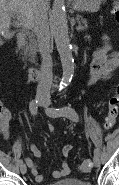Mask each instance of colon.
Instances as JSON below:
<instances>
[{
	"label": "colon",
	"instance_id": "5ec220e1",
	"mask_svg": "<svg viewBox=\"0 0 119 185\" xmlns=\"http://www.w3.org/2000/svg\"><path fill=\"white\" fill-rule=\"evenodd\" d=\"M112 14L117 20H119V5L117 3L114 4L112 8ZM118 93L119 92L117 89V91L110 97L108 101V110H107L105 123H104V126L106 129H111L116 123V119L118 115V105H119ZM5 118L6 116H5L4 110H2L0 106L1 131L3 130V121L5 120ZM78 169L82 173H88L92 170V162L89 159H85L79 164Z\"/></svg>",
	"mask_w": 119,
	"mask_h": 185
}]
</instances>
